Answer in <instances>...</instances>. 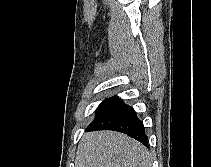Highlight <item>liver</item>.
I'll return each mask as SVG.
<instances>
[{"label":"liver","mask_w":211,"mask_h":167,"mask_svg":"<svg viewBox=\"0 0 211 167\" xmlns=\"http://www.w3.org/2000/svg\"><path fill=\"white\" fill-rule=\"evenodd\" d=\"M76 167H151L145 146L114 131L86 133L78 146Z\"/></svg>","instance_id":"liver-1"}]
</instances>
